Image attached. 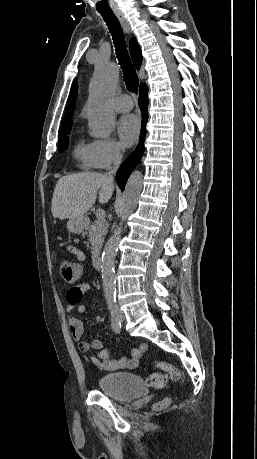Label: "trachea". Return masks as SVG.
I'll list each match as a JSON object with an SVG mask.
<instances>
[{"instance_id": "3493384b", "label": "trachea", "mask_w": 257, "mask_h": 459, "mask_svg": "<svg viewBox=\"0 0 257 459\" xmlns=\"http://www.w3.org/2000/svg\"><path fill=\"white\" fill-rule=\"evenodd\" d=\"M111 33L117 59L123 72L125 85L130 92H137L139 79L127 50L121 25L112 11H99Z\"/></svg>"}]
</instances>
